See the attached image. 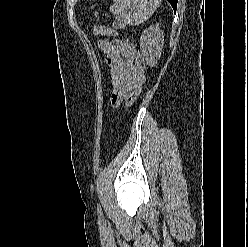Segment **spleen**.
I'll return each instance as SVG.
<instances>
[{
  "label": "spleen",
  "instance_id": "3e777b00",
  "mask_svg": "<svg viewBox=\"0 0 248 247\" xmlns=\"http://www.w3.org/2000/svg\"><path fill=\"white\" fill-rule=\"evenodd\" d=\"M110 12L120 15L129 25H139L148 20L162 0H113Z\"/></svg>",
  "mask_w": 248,
  "mask_h": 247
}]
</instances>
